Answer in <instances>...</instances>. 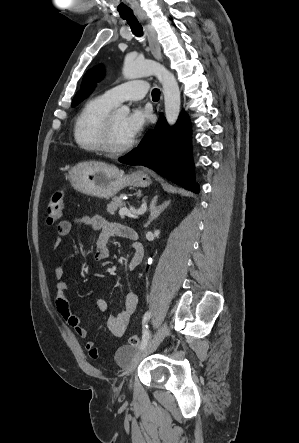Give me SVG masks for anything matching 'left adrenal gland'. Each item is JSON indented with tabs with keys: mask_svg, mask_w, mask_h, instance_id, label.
Segmentation results:
<instances>
[{
	"mask_svg": "<svg viewBox=\"0 0 299 443\" xmlns=\"http://www.w3.org/2000/svg\"><path fill=\"white\" fill-rule=\"evenodd\" d=\"M170 204V201H165L162 205L157 206V197H155L152 202L150 203L149 211L150 216L149 220L145 224V227H148L153 220L158 218V216L167 208V206Z\"/></svg>",
	"mask_w": 299,
	"mask_h": 443,
	"instance_id": "obj_1",
	"label": "left adrenal gland"
}]
</instances>
